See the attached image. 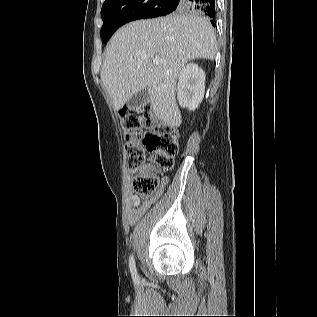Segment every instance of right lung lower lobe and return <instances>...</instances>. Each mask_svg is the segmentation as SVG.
I'll return each mask as SVG.
<instances>
[{
    "label": "right lung lower lobe",
    "mask_w": 317,
    "mask_h": 317,
    "mask_svg": "<svg viewBox=\"0 0 317 317\" xmlns=\"http://www.w3.org/2000/svg\"><path fill=\"white\" fill-rule=\"evenodd\" d=\"M172 6H177L183 11H192L205 14L210 17L212 25L215 27V0H173Z\"/></svg>",
    "instance_id": "right-lung-lower-lobe-1"
}]
</instances>
